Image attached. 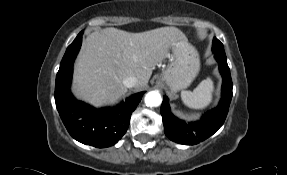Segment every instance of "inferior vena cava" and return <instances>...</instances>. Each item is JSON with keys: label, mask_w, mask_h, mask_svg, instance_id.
<instances>
[{"label": "inferior vena cava", "mask_w": 287, "mask_h": 175, "mask_svg": "<svg viewBox=\"0 0 287 175\" xmlns=\"http://www.w3.org/2000/svg\"><path fill=\"white\" fill-rule=\"evenodd\" d=\"M138 83V79L135 76H128L123 80L124 86L127 88H131L136 86Z\"/></svg>", "instance_id": "1"}]
</instances>
